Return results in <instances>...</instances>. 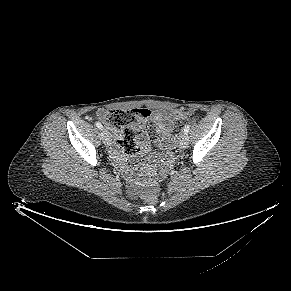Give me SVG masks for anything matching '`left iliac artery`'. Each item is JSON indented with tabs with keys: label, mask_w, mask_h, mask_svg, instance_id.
<instances>
[{
	"label": "left iliac artery",
	"mask_w": 291,
	"mask_h": 291,
	"mask_svg": "<svg viewBox=\"0 0 291 291\" xmlns=\"http://www.w3.org/2000/svg\"><path fill=\"white\" fill-rule=\"evenodd\" d=\"M189 130H190V125L188 124L184 127V133L188 134Z\"/></svg>",
	"instance_id": "left-iliac-artery-1"
}]
</instances>
